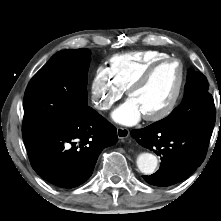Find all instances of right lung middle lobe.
<instances>
[{
	"instance_id": "1",
	"label": "right lung middle lobe",
	"mask_w": 221,
	"mask_h": 221,
	"mask_svg": "<svg viewBox=\"0 0 221 221\" xmlns=\"http://www.w3.org/2000/svg\"><path fill=\"white\" fill-rule=\"evenodd\" d=\"M90 54L59 51L34 75L24 95L23 135L67 126L88 108Z\"/></svg>"
}]
</instances>
